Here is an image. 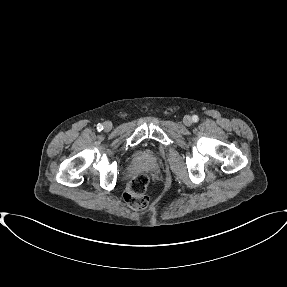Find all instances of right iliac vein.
Instances as JSON below:
<instances>
[{
  "label": "right iliac vein",
  "mask_w": 287,
  "mask_h": 287,
  "mask_svg": "<svg viewBox=\"0 0 287 287\" xmlns=\"http://www.w3.org/2000/svg\"><path fill=\"white\" fill-rule=\"evenodd\" d=\"M112 128V124L110 122H105L104 123V129L105 130H110Z\"/></svg>",
  "instance_id": "63e3f726"
}]
</instances>
